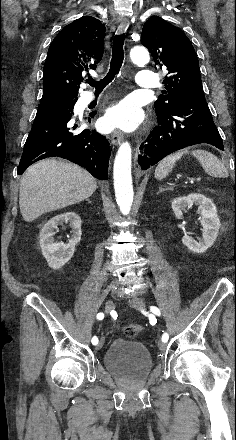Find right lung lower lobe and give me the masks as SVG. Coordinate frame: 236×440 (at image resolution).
Wrapping results in <instances>:
<instances>
[{"label":"right lung lower lobe","mask_w":236,"mask_h":440,"mask_svg":"<svg viewBox=\"0 0 236 440\" xmlns=\"http://www.w3.org/2000/svg\"><path fill=\"white\" fill-rule=\"evenodd\" d=\"M76 101L38 107L24 145L18 174H23L28 166L41 159L61 157L86 168L94 177L107 180L108 139L95 130L81 127L82 121L73 116ZM93 115L90 114L86 120L90 122Z\"/></svg>","instance_id":"right-lung-lower-lobe-1"}]
</instances>
